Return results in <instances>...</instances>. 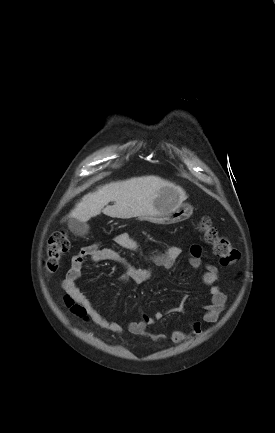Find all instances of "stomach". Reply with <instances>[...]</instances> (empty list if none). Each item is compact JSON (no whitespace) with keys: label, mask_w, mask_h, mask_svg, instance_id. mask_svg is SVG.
I'll use <instances>...</instances> for the list:
<instances>
[{"label":"stomach","mask_w":275,"mask_h":433,"mask_svg":"<svg viewBox=\"0 0 275 433\" xmlns=\"http://www.w3.org/2000/svg\"><path fill=\"white\" fill-rule=\"evenodd\" d=\"M156 214L144 219L156 224H175L188 219L193 212L189 205L182 204L180 193L172 187L161 188L154 196Z\"/></svg>","instance_id":"1"}]
</instances>
